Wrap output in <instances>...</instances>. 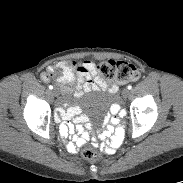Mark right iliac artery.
Wrapping results in <instances>:
<instances>
[{
	"mask_svg": "<svg viewBox=\"0 0 183 183\" xmlns=\"http://www.w3.org/2000/svg\"><path fill=\"white\" fill-rule=\"evenodd\" d=\"M49 89H50V90H52V89H53V86H52V85H50V86H49Z\"/></svg>",
	"mask_w": 183,
	"mask_h": 183,
	"instance_id": "1",
	"label": "right iliac artery"
}]
</instances>
